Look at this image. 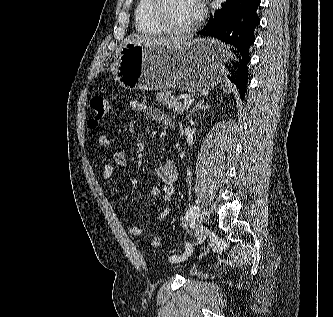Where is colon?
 <instances>
[{"instance_id": "obj_1", "label": "colon", "mask_w": 333, "mask_h": 317, "mask_svg": "<svg viewBox=\"0 0 333 317\" xmlns=\"http://www.w3.org/2000/svg\"><path fill=\"white\" fill-rule=\"evenodd\" d=\"M109 110V101L104 96H93L90 100V117L88 125L91 129H96L101 121L105 118ZM153 246L161 244V238L154 236L151 240Z\"/></svg>"}]
</instances>
